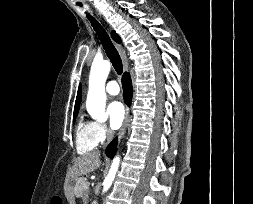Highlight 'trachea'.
I'll return each mask as SVG.
<instances>
[{"mask_svg": "<svg viewBox=\"0 0 253 204\" xmlns=\"http://www.w3.org/2000/svg\"><path fill=\"white\" fill-rule=\"evenodd\" d=\"M87 17L89 21L91 22L94 30L96 31V34L99 37L103 45V48L108 58L110 59L115 71L117 72V74L121 75L123 72L122 61H121L119 53L117 52L116 48L111 42L108 34L95 18H93L90 14H87Z\"/></svg>", "mask_w": 253, "mask_h": 204, "instance_id": "obj_1", "label": "trachea"}]
</instances>
